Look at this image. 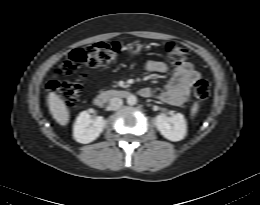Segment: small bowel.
I'll use <instances>...</instances> for the list:
<instances>
[{"label": "small bowel", "instance_id": "1", "mask_svg": "<svg viewBox=\"0 0 260 205\" xmlns=\"http://www.w3.org/2000/svg\"><path fill=\"white\" fill-rule=\"evenodd\" d=\"M149 73L166 74L169 72L167 63L158 60H150L146 63ZM201 78L200 73L189 62L177 65L171 74L165 88L158 94V98L164 104L181 106L187 102L194 84ZM152 93L149 87L142 88L140 94L148 97Z\"/></svg>", "mask_w": 260, "mask_h": 205}]
</instances>
